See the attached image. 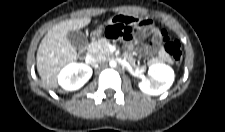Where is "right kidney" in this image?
<instances>
[{
    "mask_svg": "<svg viewBox=\"0 0 225 132\" xmlns=\"http://www.w3.org/2000/svg\"><path fill=\"white\" fill-rule=\"evenodd\" d=\"M92 76V68L83 63H71L58 75L59 85L68 91L80 89Z\"/></svg>",
    "mask_w": 225,
    "mask_h": 132,
    "instance_id": "obj_1",
    "label": "right kidney"
}]
</instances>
